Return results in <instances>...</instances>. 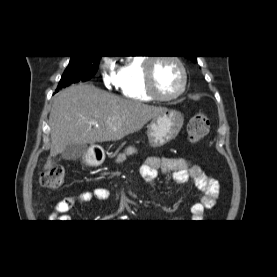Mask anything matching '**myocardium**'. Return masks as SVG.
I'll list each match as a JSON object with an SVG mask.
<instances>
[{
	"instance_id": "myocardium-1",
	"label": "myocardium",
	"mask_w": 277,
	"mask_h": 277,
	"mask_svg": "<svg viewBox=\"0 0 277 277\" xmlns=\"http://www.w3.org/2000/svg\"><path fill=\"white\" fill-rule=\"evenodd\" d=\"M159 59H169L177 64L181 72L182 83L180 89L173 95L164 96L161 95L155 86V79L153 74V65ZM144 84L147 93L156 100L159 101H171L180 97L186 90L188 84L187 70L182 60L175 55H166L164 57H152L145 61L144 65Z\"/></svg>"
}]
</instances>
